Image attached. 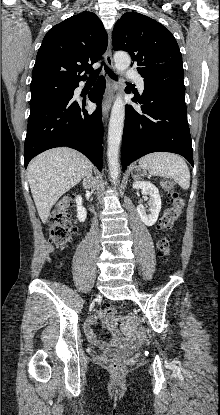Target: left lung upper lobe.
<instances>
[{
	"label": "left lung upper lobe",
	"instance_id": "left-lung-upper-lobe-1",
	"mask_svg": "<svg viewBox=\"0 0 220 415\" xmlns=\"http://www.w3.org/2000/svg\"><path fill=\"white\" fill-rule=\"evenodd\" d=\"M113 48L127 51L142 77H184L182 55L174 36L145 15L136 12L122 15L113 30Z\"/></svg>",
	"mask_w": 220,
	"mask_h": 415
}]
</instances>
